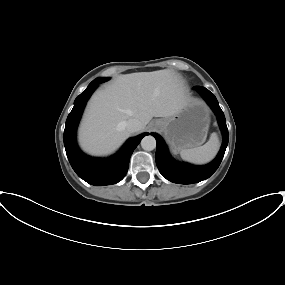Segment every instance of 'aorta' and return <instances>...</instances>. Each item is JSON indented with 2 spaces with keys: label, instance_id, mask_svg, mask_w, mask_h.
Listing matches in <instances>:
<instances>
[{
  "label": "aorta",
  "instance_id": "762f6f07",
  "mask_svg": "<svg viewBox=\"0 0 285 285\" xmlns=\"http://www.w3.org/2000/svg\"><path fill=\"white\" fill-rule=\"evenodd\" d=\"M141 147L145 151H152L156 148V140L153 136H145L141 141Z\"/></svg>",
  "mask_w": 285,
  "mask_h": 285
}]
</instances>
